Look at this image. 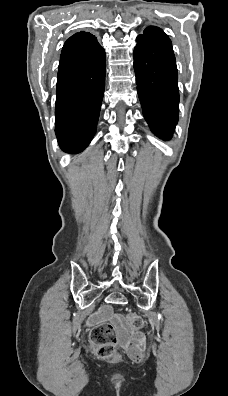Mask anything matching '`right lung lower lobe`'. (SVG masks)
<instances>
[{
  "label": "right lung lower lobe",
  "instance_id": "obj_1",
  "mask_svg": "<svg viewBox=\"0 0 228 396\" xmlns=\"http://www.w3.org/2000/svg\"><path fill=\"white\" fill-rule=\"evenodd\" d=\"M106 55L101 45L78 50L66 41L60 56L55 107V133L60 148L77 153L96 132L105 88Z\"/></svg>",
  "mask_w": 228,
  "mask_h": 396
}]
</instances>
